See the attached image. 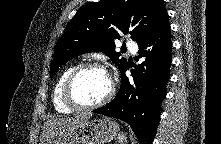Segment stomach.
I'll use <instances>...</instances> for the list:
<instances>
[{
    "label": "stomach",
    "instance_id": "0dacf381",
    "mask_svg": "<svg viewBox=\"0 0 221 144\" xmlns=\"http://www.w3.org/2000/svg\"><path fill=\"white\" fill-rule=\"evenodd\" d=\"M119 126L108 118L87 120L57 132L45 144H105L113 140Z\"/></svg>",
    "mask_w": 221,
    "mask_h": 144
}]
</instances>
